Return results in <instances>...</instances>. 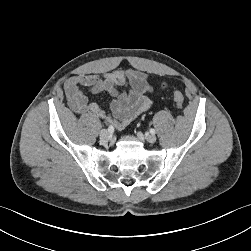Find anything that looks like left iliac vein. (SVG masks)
<instances>
[{
  "instance_id": "obj_1",
  "label": "left iliac vein",
  "mask_w": 251,
  "mask_h": 251,
  "mask_svg": "<svg viewBox=\"0 0 251 251\" xmlns=\"http://www.w3.org/2000/svg\"><path fill=\"white\" fill-rule=\"evenodd\" d=\"M146 140L149 143H154L156 141V136L154 134H148L146 136Z\"/></svg>"
}]
</instances>
